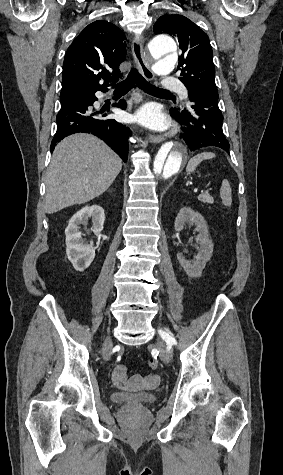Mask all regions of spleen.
Listing matches in <instances>:
<instances>
[{
    "mask_svg": "<svg viewBox=\"0 0 283 475\" xmlns=\"http://www.w3.org/2000/svg\"><path fill=\"white\" fill-rule=\"evenodd\" d=\"M210 158H216L215 154L212 152H203V154H197L194 158H191L187 164L186 172L190 174V172H194L197 166L203 162V160H210ZM220 198H222V202L224 206H231L232 204V192L230 188V184L228 180H223L222 186L220 188Z\"/></svg>",
    "mask_w": 283,
    "mask_h": 475,
    "instance_id": "1",
    "label": "spleen"
}]
</instances>
